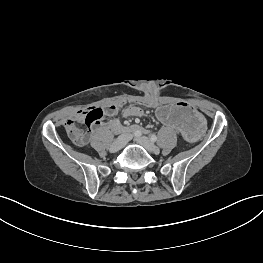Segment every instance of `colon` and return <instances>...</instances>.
Wrapping results in <instances>:
<instances>
[{"label":"colon","instance_id":"1","mask_svg":"<svg viewBox=\"0 0 263 263\" xmlns=\"http://www.w3.org/2000/svg\"><path fill=\"white\" fill-rule=\"evenodd\" d=\"M135 103L153 104V101L148 99L146 101H133ZM119 107L117 104L109 105L105 109L91 108L83 111L81 119H68L65 124V130L69 138L77 145H83L88 140L87 131L77 125V121H82L86 124L89 129L94 128L100 121L111 115L116 108Z\"/></svg>","mask_w":263,"mask_h":263}]
</instances>
